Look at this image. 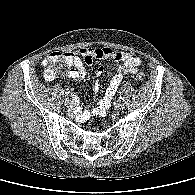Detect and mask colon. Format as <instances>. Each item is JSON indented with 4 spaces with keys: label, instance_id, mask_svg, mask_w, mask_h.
Returning a JSON list of instances; mask_svg holds the SVG:
<instances>
[{
    "label": "colon",
    "instance_id": "colon-1",
    "mask_svg": "<svg viewBox=\"0 0 195 195\" xmlns=\"http://www.w3.org/2000/svg\"><path fill=\"white\" fill-rule=\"evenodd\" d=\"M43 66L45 68L46 77L52 79L66 72L69 66L68 57L65 53L53 52L44 59ZM144 78L143 73H137L135 75L137 81H143Z\"/></svg>",
    "mask_w": 195,
    "mask_h": 195
}]
</instances>
